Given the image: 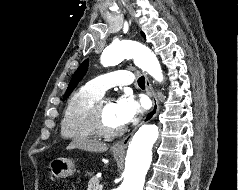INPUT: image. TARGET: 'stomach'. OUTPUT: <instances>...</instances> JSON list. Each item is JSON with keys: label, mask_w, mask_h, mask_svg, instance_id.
Listing matches in <instances>:
<instances>
[{"label": "stomach", "mask_w": 238, "mask_h": 190, "mask_svg": "<svg viewBox=\"0 0 238 190\" xmlns=\"http://www.w3.org/2000/svg\"><path fill=\"white\" fill-rule=\"evenodd\" d=\"M114 157L118 158L121 153L112 151ZM51 174L56 178H66L75 172V164L71 159L59 157L53 159L49 164Z\"/></svg>", "instance_id": "0dacf381"}]
</instances>
